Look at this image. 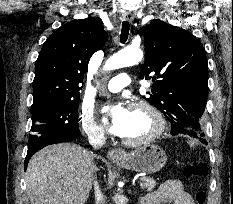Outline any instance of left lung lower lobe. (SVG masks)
<instances>
[{"label":"left lung lower lobe","instance_id":"1","mask_svg":"<svg viewBox=\"0 0 233 204\" xmlns=\"http://www.w3.org/2000/svg\"><path fill=\"white\" fill-rule=\"evenodd\" d=\"M201 139V142L203 143V144H207V141L205 140V139H203V138H200Z\"/></svg>","mask_w":233,"mask_h":204}]
</instances>
